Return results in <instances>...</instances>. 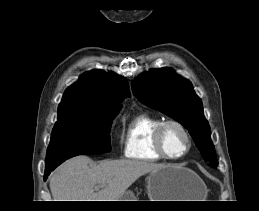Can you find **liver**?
I'll use <instances>...</instances> for the list:
<instances>
[{
    "label": "liver",
    "mask_w": 259,
    "mask_h": 211,
    "mask_svg": "<svg viewBox=\"0 0 259 211\" xmlns=\"http://www.w3.org/2000/svg\"><path fill=\"white\" fill-rule=\"evenodd\" d=\"M164 165L142 160H103L84 155L61 164L50 176L54 201H118L140 176ZM95 186L101 190L95 192Z\"/></svg>",
    "instance_id": "6515ba94"
}]
</instances>
